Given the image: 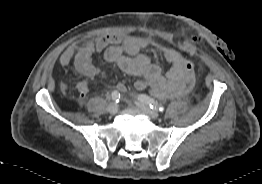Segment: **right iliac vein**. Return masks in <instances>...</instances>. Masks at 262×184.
<instances>
[{
	"label": "right iliac vein",
	"mask_w": 262,
	"mask_h": 184,
	"mask_svg": "<svg viewBox=\"0 0 262 184\" xmlns=\"http://www.w3.org/2000/svg\"><path fill=\"white\" fill-rule=\"evenodd\" d=\"M118 111V105L116 103H111L108 106V112L112 115L116 114Z\"/></svg>",
	"instance_id": "1"
}]
</instances>
